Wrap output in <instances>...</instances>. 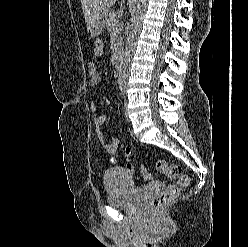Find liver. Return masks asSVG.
<instances>
[{
	"label": "liver",
	"instance_id": "liver-1",
	"mask_svg": "<svg viewBox=\"0 0 248 247\" xmlns=\"http://www.w3.org/2000/svg\"><path fill=\"white\" fill-rule=\"evenodd\" d=\"M117 0H81L87 29L100 15L106 13Z\"/></svg>",
	"mask_w": 248,
	"mask_h": 247
}]
</instances>
